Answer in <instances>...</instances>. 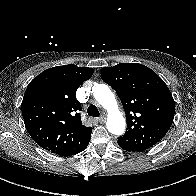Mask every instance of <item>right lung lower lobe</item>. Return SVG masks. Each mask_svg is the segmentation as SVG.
Masks as SVG:
<instances>
[{"instance_id": "98d812e1", "label": "right lung lower lobe", "mask_w": 196, "mask_h": 196, "mask_svg": "<svg viewBox=\"0 0 196 196\" xmlns=\"http://www.w3.org/2000/svg\"><path fill=\"white\" fill-rule=\"evenodd\" d=\"M90 141V138L87 139L85 142H83L79 147L75 148L74 150L70 151L68 154H66L65 156H70V155H74V154H78L81 151L85 150V148L88 146V143Z\"/></svg>"}]
</instances>
